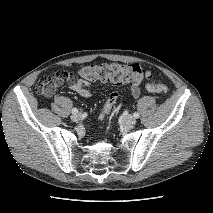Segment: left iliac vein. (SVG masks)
Wrapping results in <instances>:
<instances>
[{"mask_svg":"<svg viewBox=\"0 0 213 213\" xmlns=\"http://www.w3.org/2000/svg\"><path fill=\"white\" fill-rule=\"evenodd\" d=\"M124 122L127 126H132L136 123V119L133 116L128 115L124 118Z\"/></svg>","mask_w":213,"mask_h":213,"instance_id":"1","label":"left iliac vein"}]
</instances>
